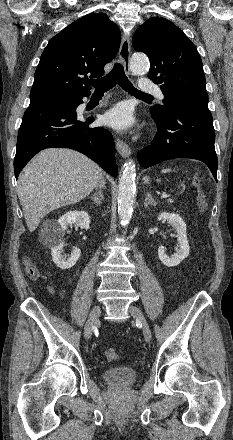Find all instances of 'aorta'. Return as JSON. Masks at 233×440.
I'll return each instance as SVG.
<instances>
[{
	"label": "aorta",
	"mask_w": 233,
	"mask_h": 440,
	"mask_svg": "<svg viewBox=\"0 0 233 440\" xmlns=\"http://www.w3.org/2000/svg\"><path fill=\"white\" fill-rule=\"evenodd\" d=\"M133 74L144 75L149 70V60L144 54H134L130 60ZM136 168L132 160L124 164L118 184V214L121 225L126 226L132 216L135 194Z\"/></svg>",
	"instance_id": "aorta-1"
}]
</instances>
